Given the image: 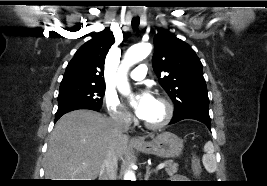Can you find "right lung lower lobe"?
I'll return each instance as SVG.
<instances>
[{"label":"right lung lower lobe","mask_w":267,"mask_h":186,"mask_svg":"<svg viewBox=\"0 0 267 186\" xmlns=\"http://www.w3.org/2000/svg\"><path fill=\"white\" fill-rule=\"evenodd\" d=\"M77 109H90V110L99 111L100 106L89 105V104H76V105H67V106L58 107V110L55 115V122L65 113H68L70 111L77 110ZM110 185H113V184H110Z\"/></svg>","instance_id":"98d812e1"}]
</instances>
